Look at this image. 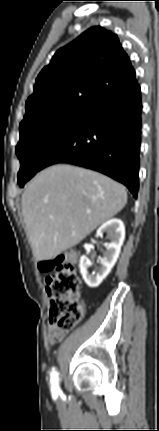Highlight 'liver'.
Listing matches in <instances>:
<instances>
[{
    "label": "liver",
    "mask_w": 159,
    "mask_h": 431,
    "mask_svg": "<svg viewBox=\"0 0 159 431\" xmlns=\"http://www.w3.org/2000/svg\"><path fill=\"white\" fill-rule=\"evenodd\" d=\"M126 203L125 187L107 176L65 164L46 168L21 198L34 257L50 260L76 246Z\"/></svg>",
    "instance_id": "1"
}]
</instances>
